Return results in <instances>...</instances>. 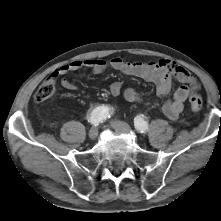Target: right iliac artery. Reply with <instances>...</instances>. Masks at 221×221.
<instances>
[{"instance_id":"1","label":"right iliac artery","mask_w":221,"mask_h":221,"mask_svg":"<svg viewBox=\"0 0 221 221\" xmlns=\"http://www.w3.org/2000/svg\"><path fill=\"white\" fill-rule=\"evenodd\" d=\"M111 109L107 106H99L97 108H95L88 119V122H90L91 124L97 126L100 123H102L103 121H105L106 119L111 117Z\"/></svg>"}]
</instances>
